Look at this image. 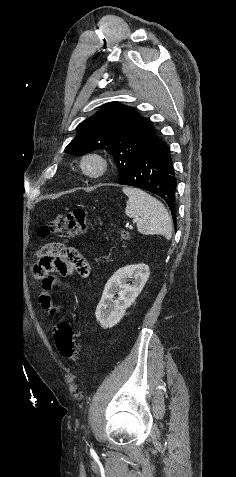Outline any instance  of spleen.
Listing matches in <instances>:
<instances>
[{"mask_svg":"<svg viewBox=\"0 0 236 477\" xmlns=\"http://www.w3.org/2000/svg\"><path fill=\"white\" fill-rule=\"evenodd\" d=\"M123 192L128 197L126 215L135 218L138 231L142 234H160L170 240L172 221L164 205L137 188L124 187Z\"/></svg>","mask_w":236,"mask_h":477,"instance_id":"spleen-1","label":"spleen"}]
</instances>
